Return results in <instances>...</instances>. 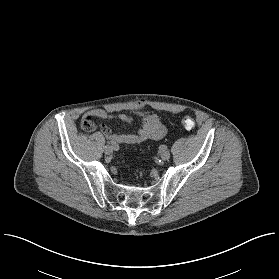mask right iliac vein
<instances>
[{
    "label": "right iliac vein",
    "instance_id": "right-iliac-vein-1",
    "mask_svg": "<svg viewBox=\"0 0 279 279\" xmlns=\"http://www.w3.org/2000/svg\"><path fill=\"white\" fill-rule=\"evenodd\" d=\"M104 152H105L106 154H111V153L113 152V149H112L111 146L106 145V146L104 147Z\"/></svg>",
    "mask_w": 279,
    "mask_h": 279
}]
</instances>
